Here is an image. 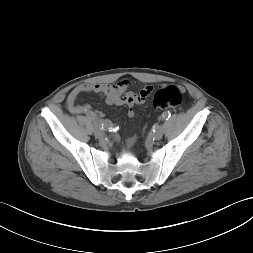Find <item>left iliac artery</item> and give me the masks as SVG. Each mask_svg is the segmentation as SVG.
Masks as SVG:
<instances>
[{
  "instance_id": "obj_1",
  "label": "left iliac artery",
  "mask_w": 253,
  "mask_h": 253,
  "mask_svg": "<svg viewBox=\"0 0 253 253\" xmlns=\"http://www.w3.org/2000/svg\"><path fill=\"white\" fill-rule=\"evenodd\" d=\"M170 116H171V114L169 113V111L168 112H164L163 114H162V117H163V119H168V118H170Z\"/></svg>"
}]
</instances>
